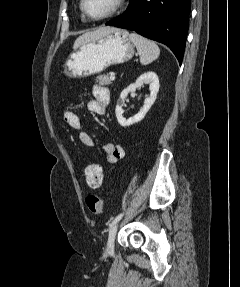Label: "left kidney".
Segmentation results:
<instances>
[{"mask_svg":"<svg viewBox=\"0 0 240 287\" xmlns=\"http://www.w3.org/2000/svg\"><path fill=\"white\" fill-rule=\"evenodd\" d=\"M144 84H149L150 88V95L145 99L144 106L133 117H130L128 119L124 118V110L122 109V107L124 105L126 97L130 92H134L137 88L142 87ZM159 87V79L156 73H154L153 71H148L140 75L135 83L130 84L126 89H124L120 94V98L117 101L115 109L117 121L120 126L127 127L134 123L140 122L145 117L146 113L150 110L151 106L154 104L157 97V93L159 91Z\"/></svg>","mask_w":240,"mask_h":287,"instance_id":"1","label":"left kidney"}]
</instances>
